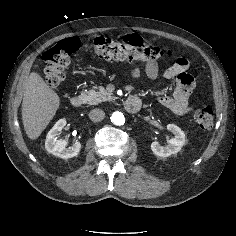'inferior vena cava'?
I'll return each instance as SVG.
<instances>
[{
	"label": "inferior vena cava",
	"instance_id": "1",
	"mask_svg": "<svg viewBox=\"0 0 236 236\" xmlns=\"http://www.w3.org/2000/svg\"><path fill=\"white\" fill-rule=\"evenodd\" d=\"M89 117L93 122L102 121L105 117V112L102 109L95 108L90 111Z\"/></svg>",
	"mask_w": 236,
	"mask_h": 236
}]
</instances>
